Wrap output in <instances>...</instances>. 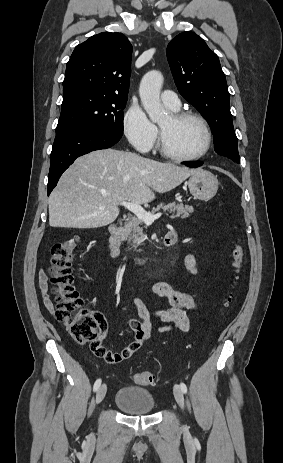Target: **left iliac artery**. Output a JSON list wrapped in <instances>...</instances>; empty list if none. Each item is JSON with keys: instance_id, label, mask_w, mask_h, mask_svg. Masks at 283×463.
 Here are the masks:
<instances>
[{"instance_id": "left-iliac-artery-1", "label": "left iliac artery", "mask_w": 283, "mask_h": 463, "mask_svg": "<svg viewBox=\"0 0 283 463\" xmlns=\"http://www.w3.org/2000/svg\"><path fill=\"white\" fill-rule=\"evenodd\" d=\"M180 388L182 392L187 393V386L184 383H180Z\"/></svg>"}]
</instances>
